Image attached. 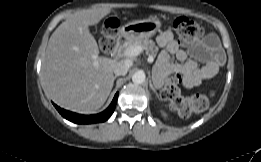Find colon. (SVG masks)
I'll return each instance as SVG.
<instances>
[{"mask_svg": "<svg viewBox=\"0 0 261 162\" xmlns=\"http://www.w3.org/2000/svg\"><path fill=\"white\" fill-rule=\"evenodd\" d=\"M173 28L179 38L183 41L198 39L202 35V27L188 17H178L174 20ZM117 33V23L110 22L103 28V36L100 42L103 51H110L114 47ZM182 77L180 75L170 76L161 91V97L172 103L183 116L191 112L200 113L205 111L209 105V99L205 95L185 97L181 91Z\"/></svg>", "mask_w": 261, "mask_h": 162, "instance_id": "colon-1", "label": "colon"}]
</instances>
